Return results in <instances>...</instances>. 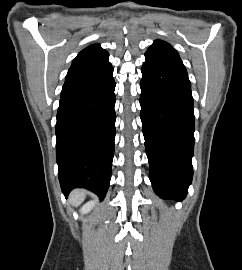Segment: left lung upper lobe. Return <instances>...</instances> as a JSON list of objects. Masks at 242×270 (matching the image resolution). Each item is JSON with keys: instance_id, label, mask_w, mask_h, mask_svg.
<instances>
[{"instance_id": "left-lung-upper-lobe-1", "label": "left lung upper lobe", "mask_w": 242, "mask_h": 270, "mask_svg": "<svg viewBox=\"0 0 242 270\" xmlns=\"http://www.w3.org/2000/svg\"><path fill=\"white\" fill-rule=\"evenodd\" d=\"M145 57L182 63L177 51L169 43L162 40L154 41L146 51Z\"/></svg>"}]
</instances>
